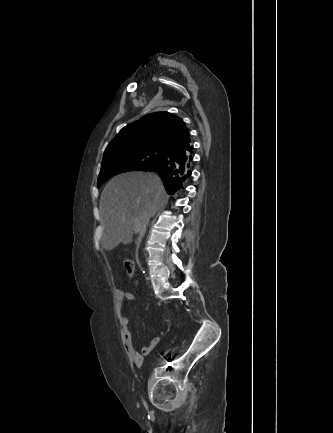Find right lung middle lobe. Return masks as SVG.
Instances as JSON below:
<instances>
[{
  "label": "right lung middle lobe",
  "instance_id": "obj_1",
  "mask_svg": "<svg viewBox=\"0 0 333 433\" xmlns=\"http://www.w3.org/2000/svg\"><path fill=\"white\" fill-rule=\"evenodd\" d=\"M166 156L156 148H127L103 157L97 186L100 187L110 177L129 170H148Z\"/></svg>",
  "mask_w": 333,
  "mask_h": 433
}]
</instances>
